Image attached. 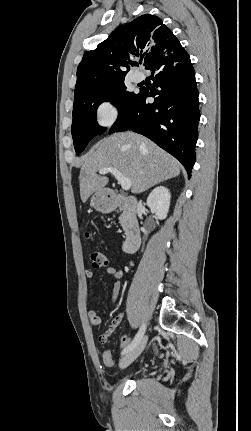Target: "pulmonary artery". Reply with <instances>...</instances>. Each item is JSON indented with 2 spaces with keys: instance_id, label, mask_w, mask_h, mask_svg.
<instances>
[{
  "instance_id": "pulmonary-artery-1",
  "label": "pulmonary artery",
  "mask_w": 251,
  "mask_h": 431,
  "mask_svg": "<svg viewBox=\"0 0 251 431\" xmlns=\"http://www.w3.org/2000/svg\"><path fill=\"white\" fill-rule=\"evenodd\" d=\"M133 79H134V81L138 82L142 79V76L140 74H135Z\"/></svg>"
}]
</instances>
